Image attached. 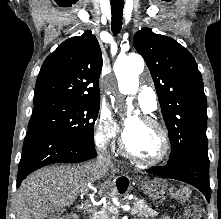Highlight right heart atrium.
Segmentation results:
<instances>
[{"instance_id": "d8ad5b80", "label": "right heart atrium", "mask_w": 221, "mask_h": 219, "mask_svg": "<svg viewBox=\"0 0 221 219\" xmlns=\"http://www.w3.org/2000/svg\"><path fill=\"white\" fill-rule=\"evenodd\" d=\"M117 133V124L108 110H101L94 123V140L98 149L109 151Z\"/></svg>"}]
</instances>
